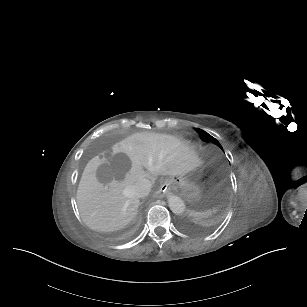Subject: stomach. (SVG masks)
<instances>
[{"mask_svg":"<svg viewBox=\"0 0 307 307\" xmlns=\"http://www.w3.org/2000/svg\"><path fill=\"white\" fill-rule=\"evenodd\" d=\"M199 176V168L193 169L188 174L171 176L168 180L169 186L174 190H179L183 194L191 193L196 189V182Z\"/></svg>","mask_w":307,"mask_h":307,"instance_id":"0dacf381","label":"stomach"}]
</instances>
